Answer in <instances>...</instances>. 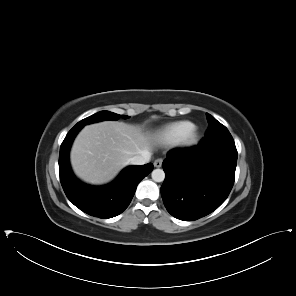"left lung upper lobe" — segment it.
<instances>
[{
    "mask_svg": "<svg viewBox=\"0 0 296 296\" xmlns=\"http://www.w3.org/2000/svg\"><path fill=\"white\" fill-rule=\"evenodd\" d=\"M209 124L208 130L202 142L207 149L218 147H235L234 140L228 129L218 122L210 114H206Z\"/></svg>",
    "mask_w": 296,
    "mask_h": 296,
    "instance_id": "left-lung-upper-lobe-1",
    "label": "left lung upper lobe"
}]
</instances>
